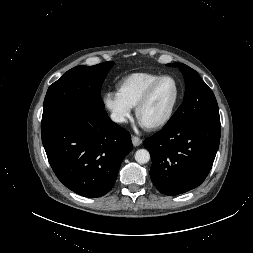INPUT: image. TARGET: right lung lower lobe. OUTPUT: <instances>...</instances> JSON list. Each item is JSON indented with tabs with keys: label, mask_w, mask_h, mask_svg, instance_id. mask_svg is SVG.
<instances>
[{
	"label": "right lung lower lobe",
	"mask_w": 253,
	"mask_h": 253,
	"mask_svg": "<svg viewBox=\"0 0 253 253\" xmlns=\"http://www.w3.org/2000/svg\"><path fill=\"white\" fill-rule=\"evenodd\" d=\"M42 143L58 179L85 197L112 189L124 157L133 149L130 134L104 108H67L42 119Z\"/></svg>",
	"instance_id": "1"
}]
</instances>
